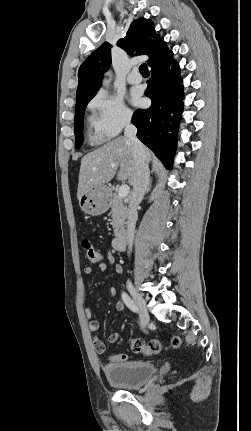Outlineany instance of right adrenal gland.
I'll return each mask as SVG.
<instances>
[{
	"instance_id": "obj_1",
	"label": "right adrenal gland",
	"mask_w": 251,
	"mask_h": 431,
	"mask_svg": "<svg viewBox=\"0 0 251 431\" xmlns=\"http://www.w3.org/2000/svg\"><path fill=\"white\" fill-rule=\"evenodd\" d=\"M151 186H152V179H150V181H149V185H148V189H147V192H149V191H150V189H151Z\"/></svg>"
}]
</instances>
